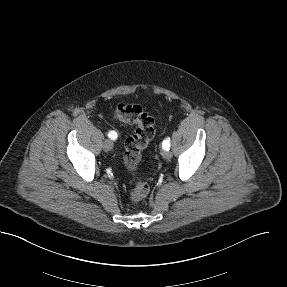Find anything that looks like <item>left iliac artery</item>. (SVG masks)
Instances as JSON below:
<instances>
[{
    "label": "left iliac artery",
    "mask_w": 287,
    "mask_h": 287,
    "mask_svg": "<svg viewBox=\"0 0 287 287\" xmlns=\"http://www.w3.org/2000/svg\"><path fill=\"white\" fill-rule=\"evenodd\" d=\"M162 148L166 151L170 149V138H166L165 140H163Z\"/></svg>",
    "instance_id": "44dca946"
}]
</instances>
